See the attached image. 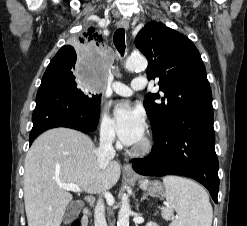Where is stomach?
<instances>
[{
	"label": "stomach",
	"instance_id": "1",
	"mask_svg": "<svg viewBox=\"0 0 247 226\" xmlns=\"http://www.w3.org/2000/svg\"><path fill=\"white\" fill-rule=\"evenodd\" d=\"M139 187L154 196H160L164 193V187L159 181L139 180Z\"/></svg>",
	"mask_w": 247,
	"mask_h": 226
}]
</instances>
